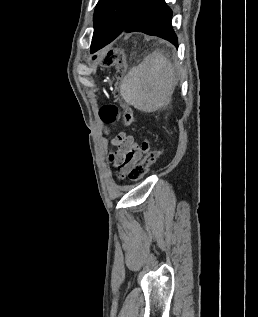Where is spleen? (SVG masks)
Masks as SVG:
<instances>
[{
    "label": "spleen",
    "instance_id": "spleen-1",
    "mask_svg": "<svg viewBox=\"0 0 258 317\" xmlns=\"http://www.w3.org/2000/svg\"><path fill=\"white\" fill-rule=\"evenodd\" d=\"M177 80L169 58L154 50L124 76L121 96L138 110L154 112L169 104Z\"/></svg>",
    "mask_w": 258,
    "mask_h": 317
}]
</instances>
